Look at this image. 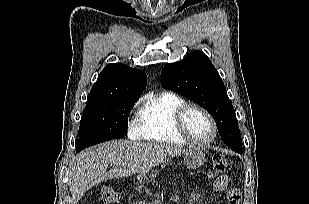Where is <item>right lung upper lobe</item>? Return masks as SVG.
I'll return each mask as SVG.
<instances>
[{
    "mask_svg": "<svg viewBox=\"0 0 309 204\" xmlns=\"http://www.w3.org/2000/svg\"><path fill=\"white\" fill-rule=\"evenodd\" d=\"M146 85L147 76L142 70L121 63H111L99 74L87 104L119 98L138 99Z\"/></svg>",
    "mask_w": 309,
    "mask_h": 204,
    "instance_id": "1",
    "label": "right lung upper lobe"
}]
</instances>
